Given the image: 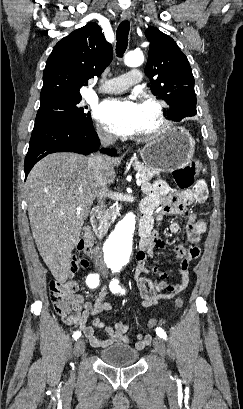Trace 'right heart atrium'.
I'll use <instances>...</instances> for the list:
<instances>
[{
    "mask_svg": "<svg viewBox=\"0 0 243 409\" xmlns=\"http://www.w3.org/2000/svg\"><path fill=\"white\" fill-rule=\"evenodd\" d=\"M96 132H97L98 137L102 141H111L112 140V136L110 135V133L108 131H106L102 126L98 125L96 127Z\"/></svg>",
    "mask_w": 243,
    "mask_h": 409,
    "instance_id": "d8ad5b80",
    "label": "right heart atrium"
}]
</instances>
